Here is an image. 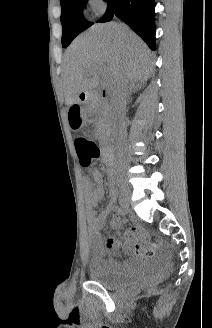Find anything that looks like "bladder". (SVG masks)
<instances>
[{
	"label": "bladder",
	"instance_id": "bladder-1",
	"mask_svg": "<svg viewBox=\"0 0 212 328\" xmlns=\"http://www.w3.org/2000/svg\"><path fill=\"white\" fill-rule=\"evenodd\" d=\"M92 281L107 289H119L140 282L143 279L142 262L135 261L127 271H120L112 267L109 260L92 259L88 269Z\"/></svg>",
	"mask_w": 212,
	"mask_h": 328
}]
</instances>
